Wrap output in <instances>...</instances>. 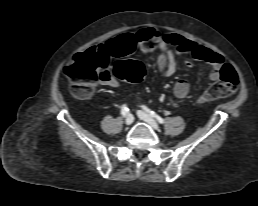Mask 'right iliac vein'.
I'll use <instances>...</instances> for the list:
<instances>
[{"label":"right iliac vein","mask_w":258,"mask_h":206,"mask_svg":"<svg viewBox=\"0 0 258 206\" xmlns=\"http://www.w3.org/2000/svg\"><path fill=\"white\" fill-rule=\"evenodd\" d=\"M134 122V117L132 114H128L125 118L126 125H131Z\"/></svg>","instance_id":"63e3f726"}]
</instances>
